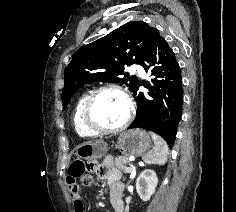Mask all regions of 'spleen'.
<instances>
[{"label":"spleen","mask_w":236,"mask_h":212,"mask_svg":"<svg viewBox=\"0 0 236 212\" xmlns=\"http://www.w3.org/2000/svg\"><path fill=\"white\" fill-rule=\"evenodd\" d=\"M151 137L154 141V147L142 159L147 164L164 165L167 162L168 145L160 136L153 132Z\"/></svg>","instance_id":"1"}]
</instances>
